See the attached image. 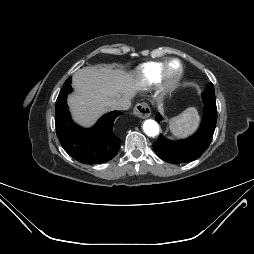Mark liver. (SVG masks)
I'll return each instance as SVG.
<instances>
[{
    "label": "liver",
    "mask_w": 254,
    "mask_h": 254,
    "mask_svg": "<svg viewBox=\"0 0 254 254\" xmlns=\"http://www.w3.org/2000/svg\"><path fill=\"white\" fill-rule=\"evenodd\" d=\"M141 86L138 79L122 70L82 68L73 75L75 93L68 100L73 119L90 126L102 114L112 110L114 102L134 97Z\"/></svg>",
    "instance_id": "6515ba94"
}]
</instances>
